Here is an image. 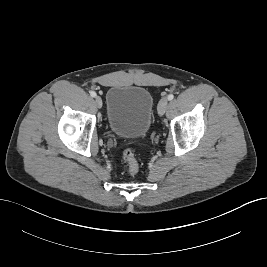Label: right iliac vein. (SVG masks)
I'll list each match as a JSON object with an SVG mask.
<instances>
[{
  "label": "right iliac vein",
  "instance_id": "1",
  "mask_svg": "<svg viewBox=\"0 0 267 267\" xmlns=\"http://www.w3.org/2000/svg\"><path fill=\"white\" fill-rule=\"evenodd\" d=\"M95 103H96L98 108H101L102 107V99H101V97L96 96L95 97Z\"/></svg>",
  "mask_w": 267,
  "mask_h": 267
}]
</instances>
